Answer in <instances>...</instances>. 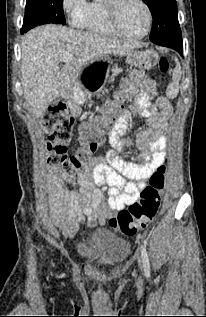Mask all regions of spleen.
I'll return each instance as SVG.
<instances>
[{
	"mask_svg": "<svg viewBox=\"0 0 206 317\" xmlns=\"http://www.w3.org/2000/svg\"><path fill=\"white\" fill-rule=\"evenodd\" d=\"M176 67L173 70L172 81L168 84L166 95L169 99H175L179 93L181 80V66L177 58H175Z\"/></svg>",
	"mask_w": 206,
	"mask_h": 317,
	"instance_id": "3e777b00",
	"label": "spleen"
}]
</instances>
